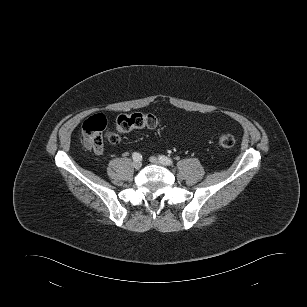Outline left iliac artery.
<instances>
[{
  "label": "left iliac artery",
  "mask_w": 307,
  "mask_h": 307,
  "mask_svg": "<svg viewBox=\"0 0 307 307\" xmlns=\"http://www.w3.org/2000/svg\"><path fill=\"white\" fill-rule=\"evenodd\" d=\"M159 160L165 165H172L173 164V160L171 158L164 156V155L159 156Z\"/></svg>",
  "instance_id": "obj_1"
}]
</instances>
